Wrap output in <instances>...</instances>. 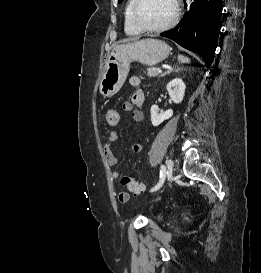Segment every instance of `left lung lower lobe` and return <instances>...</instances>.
<instances>
[{"label": "left lung lower lobe", "mask_w": 261, "mask_h": 273, "mask_svg": "<svg viewBox=\"0 0 261 273\" xmlns=\"http://www.w3.org/2000/svg\"><path fill=\"white\" fill-rule=\"evenodd\" d=\"M221 15L222 0H194L179 24L161 36L199 54L209 67L217 47Z\"/></svg>", "instance_id": "1"}]
</instances>
